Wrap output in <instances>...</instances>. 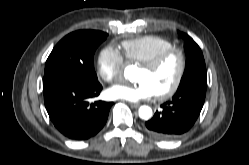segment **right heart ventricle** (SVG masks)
<instances>
[{"label": "right heart ventricle", "mask_w": 249, "mask_h": 165, "mask_svg": "<svg viewBox=\"0 0 249 165\" xmlns=\"http://www.w3.org/2000/svg\"><path fill=\"white\" fill-rule=\"evenodd\" d=\"M173 47V43L161 36L145 35L121 42V48L127 61L143 64L166 49Z\"/></svg>", "instance_id": "1"}]
</instances>
